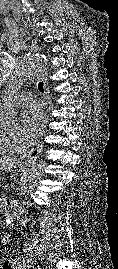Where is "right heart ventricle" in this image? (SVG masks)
Here are the masks:
<instances>
[{"label":"right heart ventricle","mask_w":118,"mask_h":269,"mask_svg":"<svg viewBox=\"0 0 118 269\" xmlns=\"http://www.w3.org/2000/svg\"><path fill=\"white\" fill-rule=\"evenodd\" d=\"M0 150H3V151H14L16 149L12 148L11 146H7L6 144L2 143L0 141Z\"/></svg>","instance_id":"1"}]
</instances>
